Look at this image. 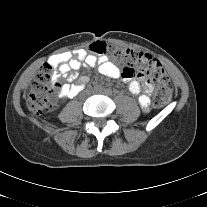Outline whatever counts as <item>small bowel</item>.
I'll return each mask as SVG.
<instances>
[{
  "label": "small bowel",
  "instance_id": "obj_1",
  "mask_svg": "<svg viewBox=\"0 0 207 207\" xmlns=\"http://www.w3.org/2000/svg\"><path fill=\"white\" fill-rule=\"evenodd\" d=\"M101 43V42H96ZM47 64L53 68H57L58 72L52 73V80L57 84L56 89L60 97L73 98L77 96L86 86L89 81L88 74L78 77L76 71L84 68L90 70L97 67L98 72L105 77L116 79L123 78L128 82L129 91L136 96L143 111L147 112L150 106V98L146 94H142V90L146 93L151 92V88L144 85L140 81L133 78H125L121 69L112 62L106 55L98 54L93 50L78 49L71 52H62L52 55ZM65 78L69 83L60 84V78Z\"/></svg>",
  "mask_w": 207,
  "mask_h": 207
}]
</instances>
